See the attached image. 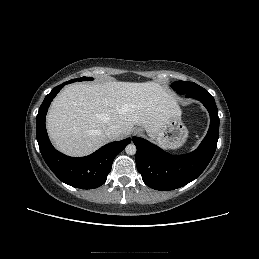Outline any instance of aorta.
<instances>
[{
    "mask_svg": "<svg viewBox=\"0 0 259 259\" xmlns=\"http://www.w3.org/2000/svg\"><path fill=\"white\" fill-rule=\"evenodd\" d=\"M125 151L128 155H134L136 153V146L130 143L126 146Z\"/></svg>",
    "mask_w": 259,
    "mask_h": 259,
    "instance_id": "obj_1",
    "label": "aorta"
}]
</instances>
